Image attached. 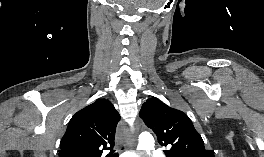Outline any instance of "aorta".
I'll return each mask as SVG.
<instances>
[{"instance_id": "1", "label": "aorta", "mask_w": 264, "mask_h": 157, "mask_svg": "<svg viewBox=\"0 0 264 157\" xmlns=\"http://www.w3.org/2000/svg\"><path fill=\"white\" fill-rule=\"evenodd\" d=\"M138 147L142 150L150 151L154 147L153 137L148 133L142 134L139 137Z\"/></svg>"}]
</instances>
